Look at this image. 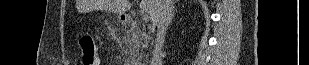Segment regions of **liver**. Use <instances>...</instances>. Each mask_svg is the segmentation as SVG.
<instances>
[{
    "label": "liver",
    "mask_w": 309,
    "mask_h": 65,
    "mask_svg": "<svg viewBox=\"0 0 309 65\" xmlns=\"http://www.w3.org/2000/svg\"><path fill=\"white\" fill-rule=\"evenodd\" d=\"M173 0H140V9L146 11L153 25H156L160 14L166 4L173 5ZM79 9L84 12L87 10H102L114 12L121 16L130 10L132 4L130 0H81L78 2Z\"/></svg>",
    "instance_id": "6515ba94"
}]
</instances>
